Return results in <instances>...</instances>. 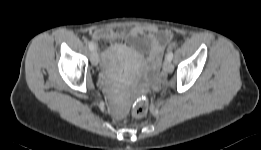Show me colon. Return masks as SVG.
Segmentation results:
<instances>
[{
	"label": "colon",
	"instance_id": "5ec220e1",
	"mask_svg": "<svg viewBox=\"0 0 261 150\" xmlns=\"http://www.w3.org/2000/svg\"><path fill=\"white\" fill-rule=\"evenodd\" d=\"M149 109L148 99L145 95L140 96L132 106V115L136 118H143Z\"/></svg>",
	"mask_w": 261,
	"mask_h": 150
}]
</instances>
